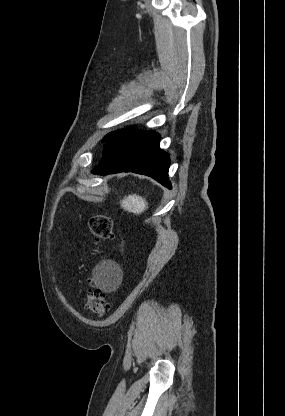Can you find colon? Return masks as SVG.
<instances>
[{
    "label": "colon",
    "instance_id": "obj_1",
    "mask_svg": "<svg viewBox=\"0 0 285 416\" xmlns=\"http://www.w3.org/2000/svg\"><path fill=\"white\" fill-rule=\"evenodd\" d=\"M89 229L97 241L108 240L112 236V219L103 214L95 215L89 220ZM84 295L88 309L97 316H102L110 310V304L103 292L99 289L88 286Z\"/></svg>",
    "mask_w": 285,
    "mask_h": 416
}]
</instances>
